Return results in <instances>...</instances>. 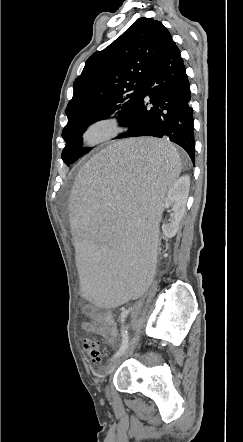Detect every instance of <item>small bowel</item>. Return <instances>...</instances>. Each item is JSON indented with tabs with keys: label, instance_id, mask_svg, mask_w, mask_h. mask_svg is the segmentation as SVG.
<instances>
[{
	"label": "small bowel",
	"instance_id": "1",
	"mask_svg": "<svg viewBox=\"0 0 243 442\" xmlns=\"http://www.w3.org/2000/svg\"><path fill=\"white\" fill-rule=\"evenodd\" d=\"M85 313L89 318L83 327L88 332L100 335L110 346H115L118 339V331L113 313L110 310L98 312L93 307H87Z\"/></svg>",
	"mask_w": 243,
	"mask_h": 442
}]
</instances>
